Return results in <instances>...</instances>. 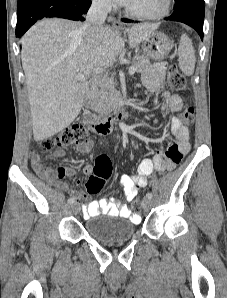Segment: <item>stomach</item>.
<instances>
[{
  "instance_id": "obj_1",
  "label": "stomach",
  "mask_w": 227,
  "mask_h": 298,
  "mask_svg": "<svg viewBox=\"0 0 227 298\" xmlns=\"http://www.w3.org/2000/svg\"><path fill=\"white\" fill-rule=\"evenodd\" d=\"M142 49L149 58L160 61L171 51L172 42L164 33L153 32L142 42Z\"/></svg>"
}]
</instances>
